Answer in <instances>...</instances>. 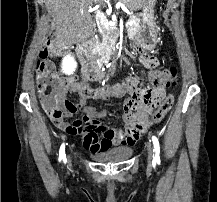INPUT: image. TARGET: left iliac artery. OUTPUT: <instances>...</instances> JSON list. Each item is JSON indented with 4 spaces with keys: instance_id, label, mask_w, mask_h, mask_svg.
Here are the masks:
<instances>
[{
    "instance_id": "left-iliac-artery-1",
    "label": "left iliac artery",
    "mask_w": 217,
    "mask_h": 202,
    "mask_svg": "<svg viewBox=\"0 0 217 202\" xmlns=\"http://www.w3.org/2000/svg\"><path fill=\"white\" fill-rule=\"evenodd\" d=\"M152 141H153V145H154V152H155V154H154V163H158V164H160V156H159V154H160V146H159V141H158V139H157V137L156 136H152Z\"/></svg>"
}]
</instances>
